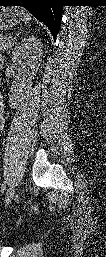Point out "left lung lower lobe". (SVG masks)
Instances as JSON below:
<instances>
[{"label": "left lung lower lobe", "instance_id": "left-lung-lower-lobe-1", "mask_svg": "<svg viewBox=\"0 0 106 257\" xmlns=\"http://www.w3.org/2000/svg\"><path fill=\"white\" fill-rule=\"evenodd\" d=\"M3 6H23L51 31L54 39L60 29L62 7L60 0H0Z\"/></svg>", "mask_w": 106, "mask_h": 257}]
</instances>
